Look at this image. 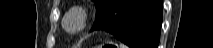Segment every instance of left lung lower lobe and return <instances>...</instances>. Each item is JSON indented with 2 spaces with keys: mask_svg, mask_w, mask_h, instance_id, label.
<instances>
[{
  "mask_svg": "<svg viewBox=\"0 0 213 48\" xmlns=\"http://www.w3.org/2000/svg\"><path fill=\"white\" fill-rule=\"evenodd\" d=\"M162 0H110L91 31L105 30L131 48H157Z\"/></svg>",
  "mask_w": 213,
  "mask_h": 48,
  "instance_id": "obj_1",
  "label": "left lung lower lobe"
}]
</instances>
